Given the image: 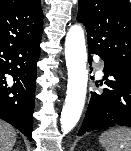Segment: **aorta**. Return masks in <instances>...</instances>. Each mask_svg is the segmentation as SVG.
Wrapping results in <instances>:
<instances>
[{
	"instance_id": "aorta-1",
	"label": "aorta",
	"mask_w": 131,
	"mask_h": 151,
	"mask_svg": "<svg viewBox=\"0 0 131 151\" xmlns=\"http://www.w3.org/2000/svg\"><path fill=\"white\" fill-rule=\"evenodd\" d=\"M65 60L68 82L65 104L60 118L63 134H67L76 126L85 104L88 71L85 38L81 26H72L66 35Z\"/></svg>"
}]
</instances>
